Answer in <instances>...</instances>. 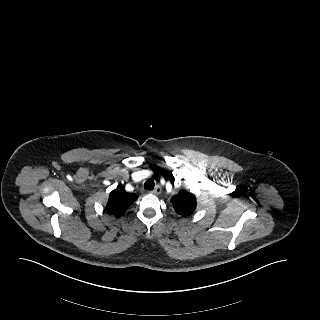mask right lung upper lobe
I'll return each instance as SVG.
<instances>
[{
	"mask_svg": "<svg viewBox=\"0 0 320 320\" xmlns=\"http://www.w3.org/2000/svg\"><path fill=\"white\" fill-rule=\"evenodd\" d=\"M138 196L134 193L125 192L124 188L117 187L111 191L105 211L115 217L123 215L130 205L137 200Z\"/></svg>",
	"mask_w": 320,
	"mask_h": 320,
	"instance_id": "right-lung-upper-lobe-1",
	"label": "right lung upper lobe"
}]
</instances>
